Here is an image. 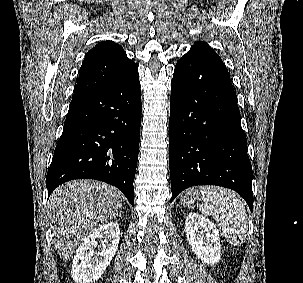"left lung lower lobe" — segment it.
I'll use <instances>...</instances> for the list:
<instances>
[{
  "mask_svg": "<svg viewBox=\"0 0 303 283\" xmlns=\"http://www.w3.org/2000/svg\"><path fill=\"white\" fill-rule=\"evenodd\" d=\"M172 198L196 185L238 192L253 208L252 167L230 75L212 49L187 52L175 66L170 98Z\"/></svg>",
  "mask_w": 303,
  "mask_h": 283,
  "instance_id": "1",
  "label": "left lung lower lobe"
}]
</instances>
